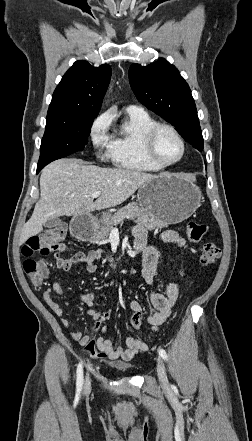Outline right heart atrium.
<instances>
[{"label": "right heart atrium", "mask_w": 252, "mask_h": 441, "mask_svg": "<svg viewBox=\"0 0 252 441\" xmlns=\"http://www.w3.org/2000/svg\"><path fill=\"white\" fill-rule=\"evenodd\" d=\"M109 126L110 118L104 113L99 115L90 127V142L100 158H111L112 136L109 134Z\"/></svg>", "instance_id": "obj_1"}]
</instances>
